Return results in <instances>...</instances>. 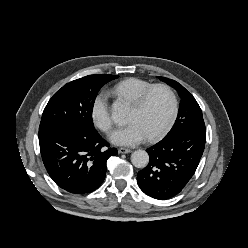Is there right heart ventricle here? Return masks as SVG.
<instances>
[{
    "instance_id": "1",
    "label": "right heart ventricle",
    "mask_w": 248,
    "mask_h": 248,
    "mask_svg": "<svg viewBox=\"0 0 248 248\" xmlns=\"http://www.w3.org/2000/svg\"><path fill=\"white\" fill-rule=\"evenodd\" d=\"M152 85L149 81L132 77L113 85L110 92L118 98L126 99L133 103L142 92Z\"/></svg>"
}]
</instances>
